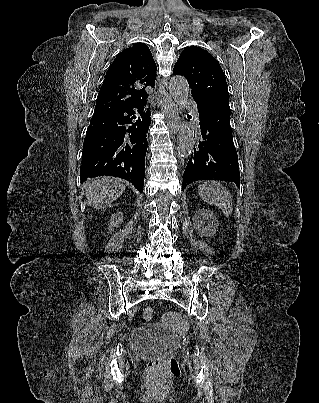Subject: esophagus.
<instances>
[{
	"label": "esophagus",
	"instance_id": "1",
	"mask_svg": "<svg viewBox=\"0 0 319 403\" xmlns=\"http://www.w3.org/2000/svg\"><path fill=\"white\" fill-rule=\"evenodd\" d=\"M159 93L166 109L167 122L174 133L179 131V117L171 96L166 91L164 80L160 81Z\"/></svg>",
	"mask_w": 319,
	"mask_h": 403
}]
</instances>
